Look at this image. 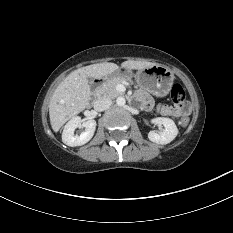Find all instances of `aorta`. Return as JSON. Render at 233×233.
<instances>
[{
    "label": "aorta",
    "instance_id": "aorta-1",
    "mask_svg": "<svg viewBox=\"0 0 233 233\" xmlns=\"http://www.w3.org/2000/svg\"><path fill=\"white\" fill-rule=\"evenodd\" d=\"M125 103H126V100H125L124 97H118V98L116 99V104H117L118 106H124Z\"/></svg>",
    "mask_w": 233,
    "mask_h": 233
}]
</instances>
